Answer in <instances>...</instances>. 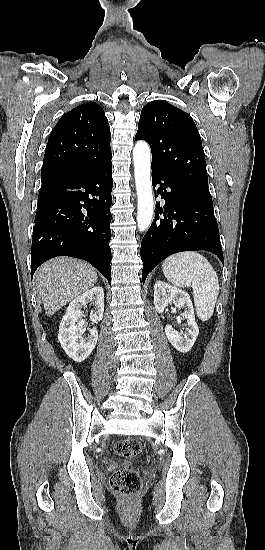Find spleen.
Masks as SVG:
<instances>
[{
    "label": "spleen",
    "mask_w": 265,
    "mask_h": 550,
    "mask_svg": "<svg viewBox=\"0 0 265 550\" xmlns=\"http://www.w3.org/2000/svg\"><path fill=\"white\" fill-rule=\"evenodd\" d=\"M163 273L177 287L192 286L197 316L202 321L211 318L219 294V281L209 261L201 254L186 251L164 260Z\"/></svg>",
    "instance_id": "3e777b00"
}]
</instances>
